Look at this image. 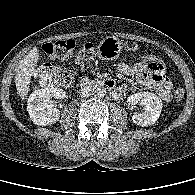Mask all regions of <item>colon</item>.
<instances>
[{
    "instance_id": "1",
    "label": "colon",
    "mask_w": 195,
    "mask_h": 195,
    "mask_svg": "<svg viewBox=\"0 0 195 195\" xmlns=\"http://www.w3.org/2000/svg\"><path fill=\"white\" fill-rule=\"evenodd\" d=\"M75 42L71 39L60 40L45 43L42 47L43 52L52 59L66 60L74 52ZM95 51L92 43H83L77 54L79 64H87L94 58ZM141 63L146 71L157 76L165 75V66L162 61L152 54H146L142 57ZM39 83L46 87L68 86L73 80V74L70 70L62 68L54 64H45L40 67L35 74ZM174 98L180 101L184 98V90L177 88L174 91Z\"/></svg>"
}]
</instances>
